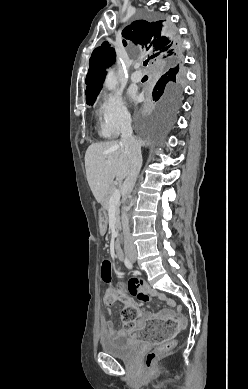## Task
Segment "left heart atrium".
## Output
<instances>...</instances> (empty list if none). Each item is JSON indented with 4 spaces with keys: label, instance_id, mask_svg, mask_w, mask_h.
Listing matches in <instances>:
<instances>
[{
    "label": "left heart atrium",
    "instance_id": "left-heart-atrium-1",
    "mask_svg": "<svg viewBox=\"0 0 248 389\" xmlns=\"http://www.w3.org/2000/svg\"><path fill=\"white\" fill-rule=\"evenodd\" d=\"M130 98H131L133 101H137V96H136L134 93H130Z\"/></svg>",
    "mask_w": 248,
    "mask_h": 389
}]
</instances>
